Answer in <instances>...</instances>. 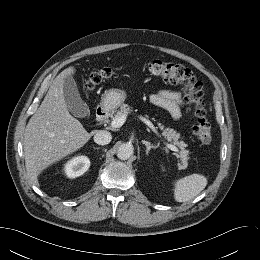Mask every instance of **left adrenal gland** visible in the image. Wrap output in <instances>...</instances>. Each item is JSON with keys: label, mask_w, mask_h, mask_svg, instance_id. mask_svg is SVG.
<instances>
[{"label": "left adrenal gland", "mask_w": 260, "mask_h": 260, "mask_svg": "<svg viewBox=\"0 0 260 260\" xmlns=\"http://www.w3.org/2000/svg\"><path fill=\"white\" fill-rule=\"evenodd\" d=\"M142 143L146 146V154L148 155L151 149H156L157 146L151 145L150 142L142 140Z\"/></svg>", "instance_id": "a2214340"}]
</instances>
